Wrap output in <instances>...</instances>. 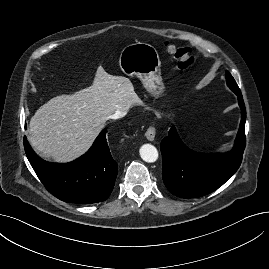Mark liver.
Here are the masks:
<instances>
[{
	"mask_svg": "<svg viewBox=\"0 0 269 269\" xmlns=\"http://www.w3.org/2000/svg\"><path fill=\"white\" fill-rule=\"evenodd\" d=\"M138 104L128 78L99 69L91 86L42 105L30 120L28 140L42 157L69 162L90 148L111 115Z\"/></svg>",
	"mask_w": 269,
	"mask_h": 269,
	"instance_id": "6515ba94",
	"label": "liver"
}]
</instances>
